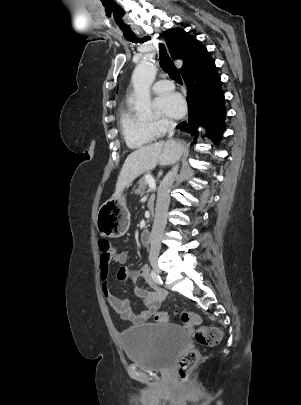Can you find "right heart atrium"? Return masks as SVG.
Returning a JSON list of instances; mask_svg holds the SVG:
<instances>
[{
    "label": "right heart atrium",
    "instance_id": "obj_1",
    "mask_svg": "<svg viewBox=\"0 0 301 405\" xmlns=\"http://www.w3.org/2000/svg\"><path fill=\"white\" fill-rule=\"evenodd\" d=\"M149 125L156 135H160L170 126V122L167 119L161 118L149 123Z\"/></svg>",
    "mask_w": 301,
    "mask_h": 405
}]
</instances>
